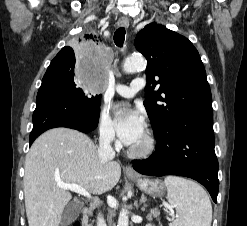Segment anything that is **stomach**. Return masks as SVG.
<instances>
[{
  "mask_svg": "<svg viewBox=\"0 0 247 226\" xmlns=\"http://www.w3.org/2000/svg\"><path fill=\"white\" fill-rule=\"evenodd\" d=\"M130 179L137 184L139 189L153 197H162L165 194V185L162 181L158 179L150 180L147 178L132 177H130Z\"/></svg>",
  "mask_w": 247,
  "mask_h": 226,
  "instance_id": "1",
  "label": "stomach"
}]
</instances>
